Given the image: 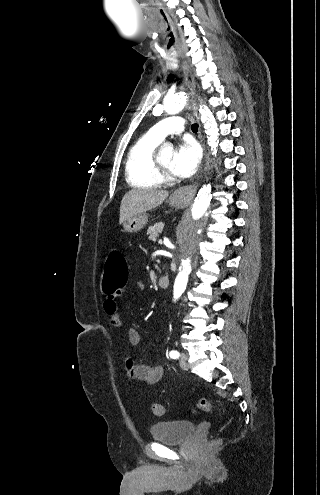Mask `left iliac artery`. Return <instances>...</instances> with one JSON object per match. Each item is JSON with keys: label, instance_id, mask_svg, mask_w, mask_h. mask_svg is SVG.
Listing matches in <instances>:
<instances>
[{"label": "left iliac artery", "instance_id": "44dca946", "mask_svg": "<svg viewBox=\"0 0 320 495\" xmlns=\"http://www.w3.org/2000/svg\"><path fill=\"white\" fill-rule=\"evenodd\" d=\"M169 356L172 358V359H177L179 357V352L176 351V350H171L170 353H169Z\"/></svg>", "mask_w": 320, "mask_h": 495}]
</instances>
